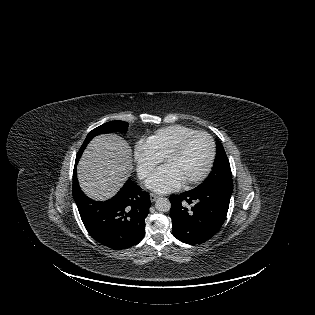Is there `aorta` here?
<instances>
[{"label":"aorta","mask_w":315,"mask_h":315,"mask_svg":"<svg viewBox=\"0 0 315 315\" xmlns=\"http://www.w3.org/2000/svg\"><path fill=\"white\" fill-rule=\"evenodd\" d=\"M155 208L160 212H168L171 208V203L167 198H159L155 202Z\"/></svg>","instance_id":"762f6f07"}]
</instances>
